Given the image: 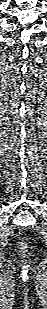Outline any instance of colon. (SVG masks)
<instances>
[{"mask_svg": "<svg viewBox=\"0 0 47 309\" xmlns=\"http://www.w3.org/2000/svg\"><path fill=\"white\" fill-rule=\"evenodd\" d=\"M21 247H22V249H24V247H25L24 241L21 242Z\"/></svg>", "mask_w": 47, "mask_h": 309, "instance_id": "5ec220e1", "label": "colon"}]
</instances>
